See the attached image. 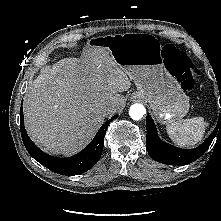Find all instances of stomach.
Masks as SVG:
<instances>
[{
  "label": "stomach",
  "mask_w": 221,
  "mask_h": 221,
  "mask_svg": "<svg viewBox=\"0 0 221 221\" xmlns=\"http://www.w3.org/2000/svg\"><path fill=\"white\" fill-rule=\"evenodd\" d=\"M106 47L115 63L134 80L132 100L142 99L161 124L181 120L189 111V98L166 70L161 45L151 34L126 33L90 39L86 48Z\"/></svg>",
  "instance_id": "1"
}]
</instances>
